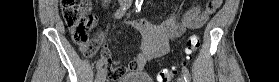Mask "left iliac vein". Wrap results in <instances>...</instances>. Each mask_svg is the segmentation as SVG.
Instances as JSON below:
<instances>
[{"instance_id":"obj_1","label":"left iliac vein","mask_w":279,"mask_h":82,"mask_svg":"<svg viewBox=\"0 0 279 82\" xmlns=\"http://www.w3.org/2000/svg\"><path fill=\"white\" fill-rule=\"evenodd\" d=\"M178 82H184V79L182 77H179Z\"/></svg>"}]
</instances>
